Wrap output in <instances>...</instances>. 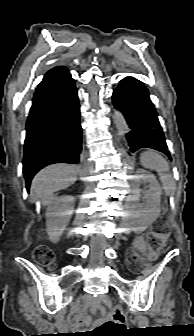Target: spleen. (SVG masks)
<instances>
[{
	"mask_svg": "<svg viewBox=\"0 0 194 336\" xmlns=\"http://www.w3.org/2000/svg\"><path fill=\"white\" fill-rule=\"evenodd\" d=\"M141 164L150 170L159 173L162 187L167 195L171 194L174 189L172 176L169 174L168 162L156 151H146L140 156Z\"/></svg>",
	"mask_w": 194,
	"mask_h": 336,
	"instance_id": "3e777b00",
	"label": "spleen"
}]
</instances>
